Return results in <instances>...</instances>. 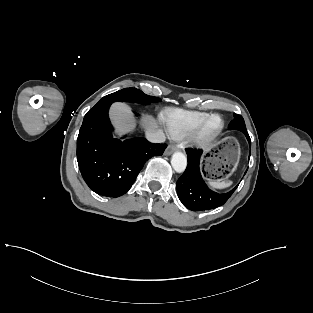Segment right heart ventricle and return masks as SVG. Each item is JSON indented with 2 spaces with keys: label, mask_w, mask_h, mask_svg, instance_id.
I'll list each match as a JSON object with an SVG mask.
<instances>
[{
  "label": "right heart ventricle",
  "mask_w": 313,
  "mask_h": 313,
  "mask_svg": "<svg viewBox=\"0 0 313 313\" xmlns=\"http://www.w3.org/2000/svg\"><path fill=\"white\" fill-rule=\"evenodd\" d=\"M208 116L206 112L167 110L163 114V121L171 138L183 139Z\"/></svg>",
  "instance_id": "e07e8e85"
}]
</instances>
